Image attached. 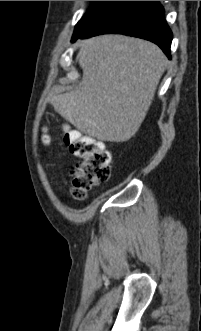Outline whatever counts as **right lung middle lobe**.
<instances>
[{
    "mask_svg": "<svg viewBox=\"0 0 201 331\" xmlns=\"http://www.w3.org/2000/svg\"><path fill=\"white\" fill-rule=\"evenodd\" d=\"M115 1H93L92 6L75 27L73 37L81 34L94 23Z\"/></svg>",
    "mask_w": 201,
    "mask_h": 331,
    "instance_id": "obj_1",
    "label": "right lung middle lobe"
}]
</instances>
